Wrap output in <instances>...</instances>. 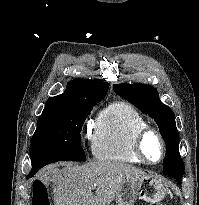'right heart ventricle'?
<instances>
[{"label": "right heart ventricle", "instance_id": "obj_1", "mask_svg": "<svg viewBox=\"0 0 199 205\" xmlns=\"http://www.w3.org/2000/svg\"><path fill=\"white\" fill-rule=\"evenodd\" d=\"M148 126L145 118L132 105L114 102L98 115L93 136L96 159L120 164H141L133 151L136 133Z\"/></svg>", "mask_w": 199, "mask_h": 205}]
</instances>
